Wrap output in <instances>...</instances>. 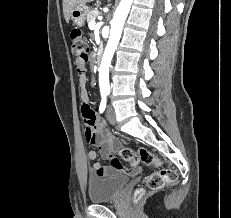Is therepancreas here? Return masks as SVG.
<instances>
[{
	"mask_svg": "<svg viewBox=\"0 0 231 218\" xmlns=\"http://www.w3.org/2000/svg\"><path fill=\"white\" fill-rule=\"evenodd\" d=\"M99 10L98 9H92L87 13V22L88 24L91 21H95L96 17L99 15Z\"/></svg>",
	"mask_w": 231,
	"mask_h": 218,
	"instance_id": "1",
	"label": "pancreas"
}]
</instances>
